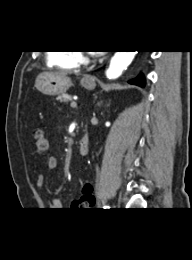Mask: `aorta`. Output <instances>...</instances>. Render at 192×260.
Segmentation results:
<instances>
[{
	"label": "aorta",
	"mask_w": 192,
	"mask_h": 260,
	"mask_svg": "<svg viewBox=\"0 0 192 260\" xmlns=\"http://www.w3.org/2000/svg\"><path fill=\"white\" fill-rule=\"evenodd\" d=\"M136 53L137 51H117L112 57L109 67L106 70L107 78H118L133 61Z\"/></svg>",
	"instance_id": "obj_1"
}]
</instances>
